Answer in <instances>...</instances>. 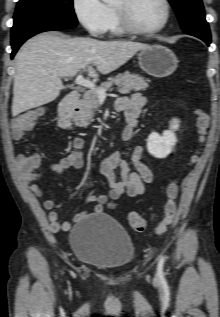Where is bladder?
Returning <instances> with one entry per match:
<instances>
[{
	"label": "bladder",
	"mask_w": 220,
	"mask_h": 317,
	"mask_svg": "<svg viewBox=\"0 0 220 317\" xmlns=\"http://www.w3.org/2000/svg\"><path fill=\"white\" fill-rule=\"evenodd\" d=\"M70 246L79 262L108 271L129 266L135 245L127 231L106 214H92L75 224Z\"/></svg>",
	"instance_id": "31cf9c89"
}]
</instances>
